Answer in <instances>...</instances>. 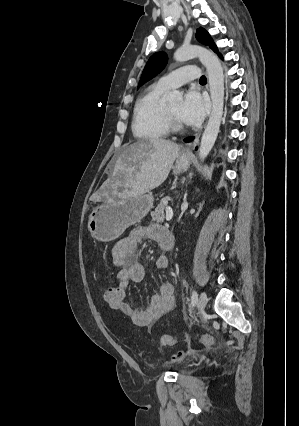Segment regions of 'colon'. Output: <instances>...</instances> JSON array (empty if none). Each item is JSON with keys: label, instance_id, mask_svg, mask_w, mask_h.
<instances>
[{"label": "colon", "instance_id": "colon-1", "mask_svg": "<svg viewBox=\"0 0 299 426\" xmlns=\"http://www.w3.org/2000/svg\"><path fill=\"white\" fill-rule=\"evenodd\" d=\"M103 298L110 308L120 311L125 303L126 293L123 288L116 285L108 286L103 291ZM160 342L163 346H174L176 338L172 335L165 334L161 337ZM201 343L210 346L214 344V338L210 335H204L201 338Z\"/></svg>", "mask_w": 299, "mask_h": 426}]
</instances>
